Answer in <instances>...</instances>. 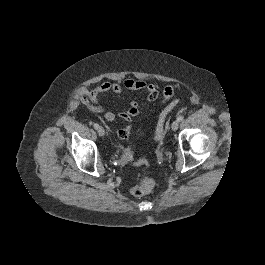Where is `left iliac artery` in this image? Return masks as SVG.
<instances>
[{"mask_svg": "<svg viewBox=\"0 0 265 265\" xmlns=\"http://www.w3.org/2000/svg\"><path fill=\"white\" fill-rule=\"evenodd\" d=\"M183 119H184V116H182V115H180V116L177 117V121L178 122L182 121Z\"/></svg>", "mask_w": 265, "mask_h": 265, "instance_id": "44dca946", "label": "left iliac artery"}]
</instances>
